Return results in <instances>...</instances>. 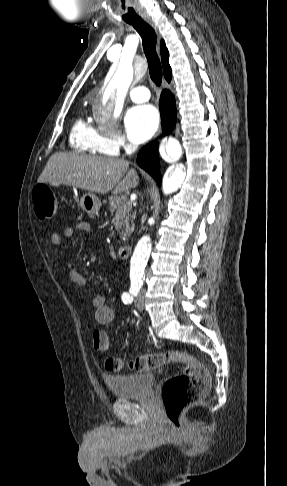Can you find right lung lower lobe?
<instances>
[{
  "instance_id": "1",
  "label": "right lung lower lobe",
  "mask_w": 287,
  "mask_h": 486,
  "mask_svg": "<svg viewBox=\"0 0 287 486\" xmlns=\"http://www.w3.org/2000/svg\"><path fill=\"white\" fill-rule=\"evenodd\" d=\"M159 107L164 134H167L173 130L176 124L175 99L169 90H163L159 101ZM137 163L141 168L147 171L160 186L161 176L159 172V159L156 143L151 142L140 150L137 156Z\"/></svg>"
}]
</instances>
